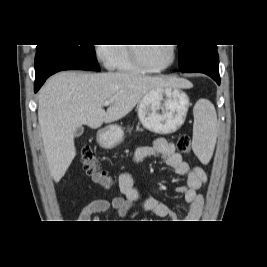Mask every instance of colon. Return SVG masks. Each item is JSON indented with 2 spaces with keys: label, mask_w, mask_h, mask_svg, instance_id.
<instances>
[{
  "label": "colon",
  "mask_w": 267,
  "mask_h": 267,
  "mask_svg": "<svg viewBox=\"0 0 267 267\" xmlns=\"http://www.w3.org/2000/svg\"><path fill=\"white\" fill-rule=\"evenodd\" d=\"M177 149L183 154H187L191 149V140L190 137L186 134L179 136L177 140ZM81 162L86 173L97 183L103 186H110L111 180L107 174L100 169L97 157L94 151L85 147L81 152Z\"/></svg>",
  "instance_id": "5ec220e1"
}]
</instances>
